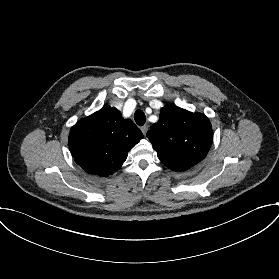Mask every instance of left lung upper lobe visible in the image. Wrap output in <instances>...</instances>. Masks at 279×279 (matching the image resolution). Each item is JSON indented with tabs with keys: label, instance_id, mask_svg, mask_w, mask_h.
<instances>
[{
	"label": "left lung upper lobe",
	"instance_id": "left-lung-upper-lobe-1",
	"mask_svg": "<svg viewBox=\"0 0 279 279\" xmlns=\"http://www.w3.org/2000/svg\"><path fill=\"white\" fill-rule=\"evenodd\" d=\"M147 137L161 162L171 170L184 171L202 161L213 142L209 119L174 104L165 105L159 121Z\"/></svg>",
	"mask_w": 279,
	"mask_h": 279
}]
</instances>
